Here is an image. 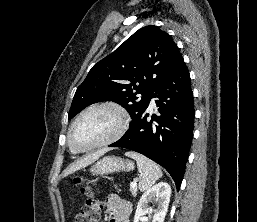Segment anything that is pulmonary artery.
Listing matches in <instances>:
<instances>
[{
  "label": "pulmonary artery",
  "instance_id": "e3ab8cb5",
  "mask_svg": "<svg viewBox=\"0 0 257 222\" xmlns=\"http://www.w3.org/2000/svg\"><path fill=\"white\" fill-rule=\"evenodd\" d=\"M151 106H154V100L151 101Z\"/></svg>",
  "mask_w": 257,
  "mask_h": 222
}]
</instances>
